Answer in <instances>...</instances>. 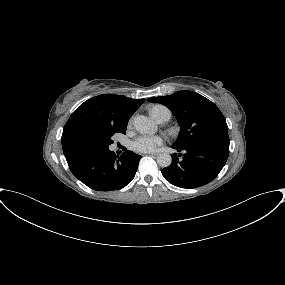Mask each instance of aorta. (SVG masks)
Listing matches in <instances>:
<instances>
[{
  "mask_svg": "<svg viewBox=\"0 0 285 285\" xmlns=\"http://www.w3.org/2000/svg\"><path fill=\"white\" fill-rule=\"evenodd\" d=\"M134 126L135 128L144 133H154L157 131L156 124L144 115H139L134 118ZM172 162V158L167 153H162L157 157V163L161 167H168Z\"/></svg>",
  "mask_w": 285,
  "mask_h": 285,
  "instance_id": "1",
  "label": "aorta"
}]
</instances>
